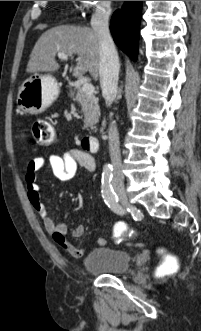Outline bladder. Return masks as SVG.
<instances>
[{
	"label": "bladder",
	"mask_w": 201,
	"mask_h": 331,
	"mask_svg": "<svg viewBox=\"0 0 201 331\" xmlns=\"http://www.w3.org/2000/svg\"><path fill=\"white\" fill-rule=\"evenodd\" d=\"M131 264V254L124 249L98 246L84 258L82 265L88 272L100 275H122Z\"/></svg>",
	"instance_id": "31cf9c89"
}]
</instances>
